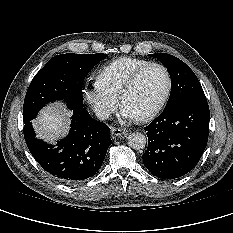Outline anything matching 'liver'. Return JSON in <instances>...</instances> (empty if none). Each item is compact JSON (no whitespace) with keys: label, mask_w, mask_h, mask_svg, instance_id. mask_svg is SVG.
<instances>
[{"label":"liver","mask_w":233,"mask_h":233,"mask_svg":"<svg viewBox=\"0 0 233 233\" xmlns=\"http://www.w3.org/2000/svg\"><path fill=\"white\" fill-rule=\"evenodd\" d=\"M71 112L55 107H48L41 111L40 116L33 121L38 137L46 141H53L67 132Z\"/></svg>","instance_id":"6515ba94"}]
</instances>
